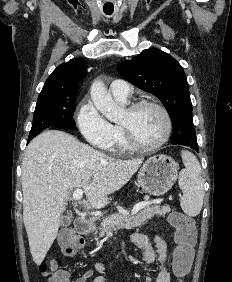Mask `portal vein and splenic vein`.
<instances>
[{"mask_svg":"<svg viewBox=\"0 0 232 282\" xmlns=\"http://www.w3.org/2000/svg\"><path fill=\"white\" fill-rule=\"evenodd\" d=\"M83 197V190L80 189V188H77L74 193H73V198L75 200H80L81 198ZM162 202V199H157V200H153V201H144V202H140L138 203L132 210V213H137L139 210L149 206V205H152V204H158V203H161Z\"/></svg>","mask_w":232,"mask_h":282,"instance_id":"1","label":"portal vein and splenic vein"}]
</instances>
